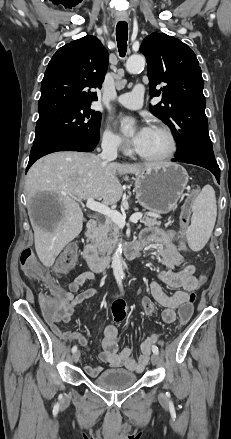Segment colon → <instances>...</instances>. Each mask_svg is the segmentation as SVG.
Returning a JSON list of instances; mask_svg holds the SVG:
<instances>
[{
  "label": "colon",
  "mask_w": 231,
  "mask_h": 439,
  "mask_svg": "<svg viewBox=\"0 0 231 439\" xmlns=\"http://www.w3.org/2000/svg\"><path fill=\"white\" fill-rule=\"evenodd\" d=\"M191 214V203L187 200L180 212L179 215V224L181 227L185 228L189 224ZM188 257H194V252H188ZM78 257V252L76 248V243L73 245H68L63 249L61 254L59 255L55 265L54 271L57 274H65L69 272L76 264ZM21 266L23 270L29 274L31 277L42 280L43 279V270L38 263L34 253L30 251V248L24 250L21 253L20 257ZM198 279L201 282H204L207 279V276L204 273H201L198 276ZM49 293L43 297L38 298V305L43 309V318L44 320H53L55 318V312L58 306V300L60 297V288L52 284L48 281ZM196 293H189L186 299V302L180 303L178 309V321L180 323H190L192 321V317L194 315V302L197 301ZM128 307L123 300H116L113 302L111 307V312L114 321L121 322L125 319L127 315Z\"/></svg>",
  "instance_id": "1"
}]
</instances>
